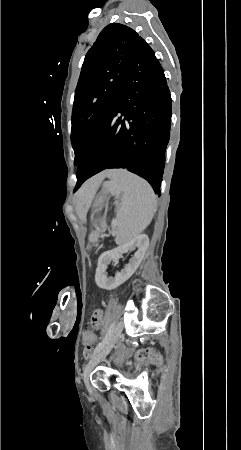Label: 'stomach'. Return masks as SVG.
<instances>
[{
  "mask_svg": "<svg viewBox=\"0 0 241 450\" xmlns=\"http://www.w3.org/2000/svg\"><path fill=\"white\" fill-rule=\"evenodd\" d=\"M106 202V197L101 196L97 201V206H102Z\"/></svg>",
  "mask_w": 241,
  "mask_h": 450,
  "instance_id": "1",
  "label": "stomach"
}]
</instances>
